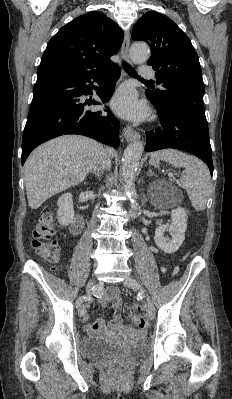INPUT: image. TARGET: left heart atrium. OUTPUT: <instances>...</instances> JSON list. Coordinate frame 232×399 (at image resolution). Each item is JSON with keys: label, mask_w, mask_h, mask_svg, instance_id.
Wrapping results in <instances>:
<instances>
[{"label": "left heart atrium", "mask_w": 232, "mask_h": 399, "mask_svg": "<svg viewBox=\"0 0 232 399\" xmlns=\"http://www.w3.org/2000/svg\"><path fill=\"white\" fill-rule=\"evenodd\" d=\"M113 111L120 117L138 121L147 116L146 105L139 101L132 89L123 88L115 96L112 102Z\"/></svg>", "instance_id": "1"}]
</instances>
